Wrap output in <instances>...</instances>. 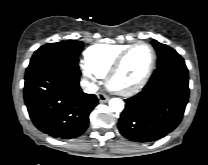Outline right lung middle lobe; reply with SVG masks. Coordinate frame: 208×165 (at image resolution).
I'll use <instances>...</instances> for the list:
<instances>
[{
  "instance_id": "right-lung-middle-lobe-1",
  "label": "right lung middle lobe",
  "mask_w": 208,
  "mask_h": 165,
  "mask_svg": "<svg viewBox=\"0 0 208 165\" xmlns=\"http://www.w3.org/2000/svg\"><path fill=\"white\" fill-rule=\"evenodd\" d=\"M83 46V42L75 40L45 44L35 51L29 66L50 58H65L74 64H78V55Z\"/></svg>"
}]
</instances>
